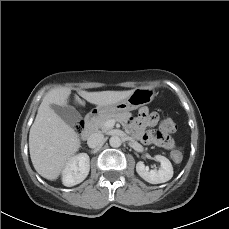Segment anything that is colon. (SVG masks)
I'll list each match as a JSON object with an SVG mask.
<instances>
[{"label":"colon","instance_id":"obj_1","mask_svg":"<svg viewBox=\"0 0 229 229\" xmlns=\"http://www.w3.org/2000/svg\"><path fill=\"white\" fill-rule=\"evenodd\" d=\"M84 128L83 122L79 121L75 124V130L81 131ZM176 130L174 122L170 118H165L158 129L154 133V137L158 144L162 147L173 150L175 147L174 140L172 138V134ZM172 158L174 161L179 162L183 158V153L179 150H173Z\"/></svg>","mask_w":229,"mask_h":229}]
</instances>
